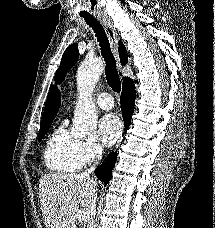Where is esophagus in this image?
<instances>
[{
	"mask_svg": "<svg viewBox=\"0 0 215 228\" xmlns=\"http://www.w3.org/2000/svg\"><path fill=\"white\" fill-rule=\"evenodd\" d=\"M98 18L105 29L106 35H107L109 43H110L111 50L113 52V55H114L116 63H117V67L120 70L121 64H120V58H119V53H118L117 33L113 27L111 20L106 15L98 14Z\"/></svg>",
	"mask_w": 215,
	"mask_h": 228,
	"instance_id": "obj_1",
	"label": "esophagus"
}]
</instances>
